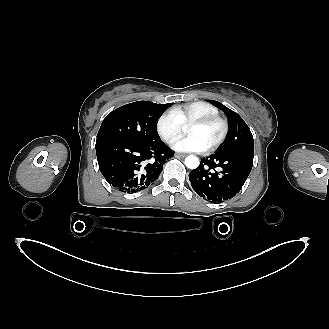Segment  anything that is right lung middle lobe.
<instances>
[{"label": "right lung middle lobe", "mask_w": 329, "mask_h": 329, "mask_svg": "<svg viewBox=\"0 0 329 329\" xmlns=\"http://www.w3.org/2000/svg\"><path fill=\"white\" fill-rule=\"evenodd\" d=\"M173 103L137 101L112 111L103 120L97 138L111 136L140 142L160 141L157 121Z\"/></svg>", "instance_id": "obj_1"}]
</instances>
